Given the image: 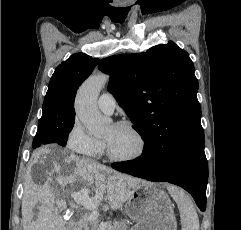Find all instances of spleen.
Wrapping results in <instances>:
<instances>
[{"label": "spleen", "instance_id": "3e777b00", "mask_svg": "<svg viewBox=\"0 0 241 230\" xmlns=\"http://www.w3.org/2000/svg\"><path fill=\"white\" fill-rule=\"evenodd\" d=\"M168 191L177 203L182 230H199V219L190 196L176 186H168Z\"/></svg>", "mask_w": 241, "mask_h": 230}]
</instances>
